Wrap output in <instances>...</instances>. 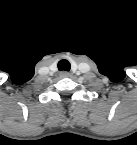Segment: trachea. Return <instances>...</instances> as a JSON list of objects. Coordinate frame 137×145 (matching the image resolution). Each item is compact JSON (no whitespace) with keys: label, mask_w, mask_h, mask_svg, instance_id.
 Here are the masks:
<instances>
[{"label":"trachea","mask_w":137,"mask_h":145,"mask_svg":"<svg viewBox=\"0 0 137 145\" xmlns=\"http://www.w3.org/2000/svg\"><path fill=\"white\" fill-rule=\"evenodd\" d=\"M70 68H71V65L68 60L62 59L58 62V69L60 71H69Z\"/></svg>","instance_id":"3493384b"}]
</instances>
